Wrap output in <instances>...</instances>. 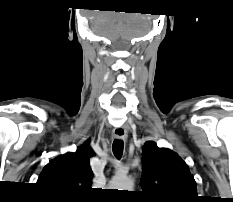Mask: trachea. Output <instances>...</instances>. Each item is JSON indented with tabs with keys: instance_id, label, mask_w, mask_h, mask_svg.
<instances>
[{
	"instance_id": "3493384b",
	"label": "trachea",
	"mask_w": 233,
	"mask_h": 202,
	"mask_svg": "<svg viewBox=\"0 0 233 202\" xmlns=\"http://www.w3.org/2000/svg\"><path fill=\"white\" fill-rule=\"evenodd\" d=\"M124 142L122 140L115 139L112 145L114 155L119 159L123 154Z\"/></svg>"
}]
</instances>
